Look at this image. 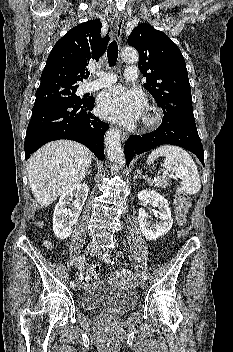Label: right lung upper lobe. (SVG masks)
Returning a JSON list of instances; mask_svg holds the SVG:
<instances>
[{"label":"right lung upper lobe","instance_id":"right-lung-upper-lobe-1","mask_svg":"<svg viewBox=\"0 0 233 352\" xmlns=\"http://www.w3.org/2000/svg\"><path fill=\"white\" fill-rule=\"evenodd\" d=\"M100 20H90L69 30L51 50L39 87L47 85L78 86L92 61L104 54L109 37H101Z\"/></svg>","mask_w":233,"mask_h":352}]
</instances>
